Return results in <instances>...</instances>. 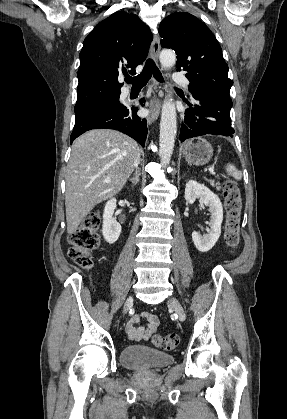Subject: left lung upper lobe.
<instances>
[{"label":"left lung upper lobe","instance_id":"1","mask_svg":"<svg viewBox=\"0 0 287 419\" xmlns=\"http://www.w3.org/2000/svg\"><path fill=\"white\" fill-rule=\"evenodd\" d=\"M161 46L177 54V71H187L189 90L229 94L233 81L221 47L210 29L190 13L178 12L160 23Z\"/></svg>","mask_w":287,"mask_h":419}]
</instances>
